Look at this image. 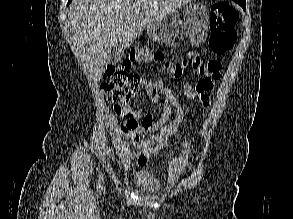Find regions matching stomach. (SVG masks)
Instances as JSON below:
<instances>
[{"mask_svg":"<svg viewBox=\"0 0 293 219\" xmlns=\"http://www.w3.org/2000/svg\"><path fill=\"white\" fill-rule=\"evenodd\" d=\"M183 20L176 15H170L147 27L150 39L178 47L184 35L193 43L202 42L208 33L210 14L201 3H191L183 13Z\"/></svg>","mask_w":293,"mask_h":219,"instance_id":"stomach-1","label":"stomach"}]
</instances>
